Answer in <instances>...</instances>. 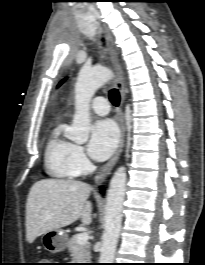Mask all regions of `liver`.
Segmentation results:
<instances>
[{
    "label": "liver",
    "instance_id": "obj_1",
    "mask_svg": "<svg viewBox=\"0 0 205 265\" xmlns=\"http://www.w3.org/2000/svg\"><path fill=\"white\" fill-rule=\"evenodd\" d=\"M92 188L74 180L44 179L33 184L26 203V240L29 243L48 231L58 230L81 218L92 221Z\"/></svg>",
    "mask_w": 205,
    "mask_h": 265
}]
</instances>
